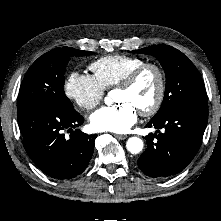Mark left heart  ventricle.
<instances>
[{"label":"left heart ventricle","instance_id":"left-heart-ventricle-1","mask_svg":"<svg viewBox=\"0 0 221 221\" xmlns=\"http://www.w3.org/2000/svg\"><path fill=\"white\" fill-rule=\"evenodd\" d=\"M158 88L156 73L148 69L137 79L135 84L128 89L117 88L114 101L130 103L137 111L148 108L155 100Z\"/></svg>","mask_w":221,"mask_h":221}]
</instances>
